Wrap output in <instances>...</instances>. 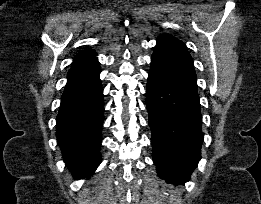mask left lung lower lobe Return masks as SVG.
Here are the masks:
<instances>
[{"instance_id":"left-lung-lower-lobe-1","label":"left lung lower lobe","mask_w":261,"mask_h":204,"mask_svg":"<svg viewBox=\"0 0 261 204\" xmlns=\"http://www.w3.org/2000/svg\"><path fill=\"white\" fill-rule=\"evenodd\" d=\"M146 107L158 176L167 183L184 184L201 158L204 133L193 59L173 36L157 38Z\"/></svg>"}]
</instances>
